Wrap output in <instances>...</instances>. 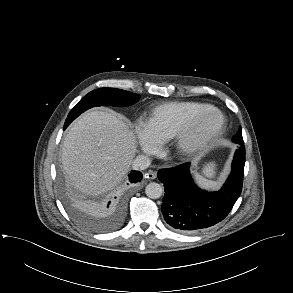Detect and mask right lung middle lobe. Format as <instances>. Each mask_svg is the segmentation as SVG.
Segmentation results:
<instances>
[{
	"label": "right lung middle lobe",
	"instance_id": "obj_1",
	"mask_svg": "<svg viewBox=\"0 0 293 293\" xmlns=\"http://www.w3.org/2000/svg\"><path fill=\"white\" fill-rule=\"evenodd\" d=\"M139 100V95L115 88H100L89 92L81 101L70 111L64 129L81 113L95 106H129ZM70 211L76 220L84 227L104 231L108 225H104L90 215L75 207L70 201L67 202Z\"/></svg>",
	"mask_w": 293,
	"mask_h": 293
}]
</instances>
